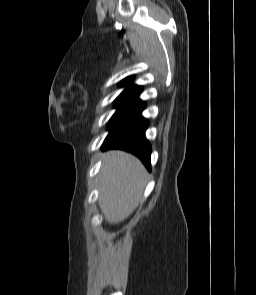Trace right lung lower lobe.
Instances as JSON below:
<instances>
[{"label":"right lung lower lobe","mask_w":256,"mask_h":295,"mask_svg":"<svg viewBox=\"0 0 256 295\" xmlns=\"http://www.w3.org/2000/svg\"><path fill=\"white\" fill-rule=\"evenodd\" d=\"M145 104L139 99L130 100L126 108L109 125L102 149H123L136 155L150 170L151 146L145 138L148 123L141 112Z\"/></svg>","instance_id":"1"}]
</instances>
